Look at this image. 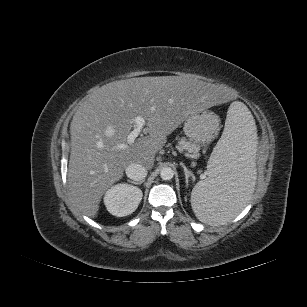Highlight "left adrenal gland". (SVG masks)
Wrapping results in <instances>:
<instances>
[{
    "label": "left adrenal gland",
    "mask_w": 307,
    "mask_h": 307,
    "mask_svg": "<svg viewBox=\"0 0 307 307\" xmlns=\"http://www.w3.org/2000/svg\"><path fill=\"white\" fill-rule=\"evenodd\" d=\"M181 166H182L183 169H184L185 179H186V185L188 186L189 178H190V177L193 178V174H192L191 171H189V170L187 169V167H186L183 163H181Z\"/></svg>",
    "instance_id": "a2214340"
}]
</instances>
